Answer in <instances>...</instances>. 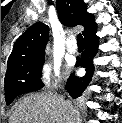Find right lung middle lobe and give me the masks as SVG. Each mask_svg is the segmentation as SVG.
<instances>
[{
	"mask_svg": "<svg viewBox=\"0 0 122 123\" xmlns=\"http://www.w3.org/2000/svg\"><path fill=\"white\" fill-rule=\"evenodd\" d=\"M44 55H39L7 69L5 75L6 104L9 105L17 96L40 90Z\"/></svg>",
	"mask_w": 122,
	"mask_h": 123,
	"instance_id": "dd1d6c3e",
	"label": "right lung middle lobe"
}]
</instances>
